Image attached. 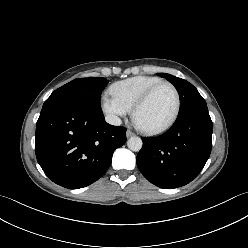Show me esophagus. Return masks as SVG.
<instances>
[{
  "mask_svg": "<svg viewBox=\"0 0 248 248\" xmlns=\"http://www.w3.org/2000/svg\"><path fill=\"white\" fill-rule=\"evenodd\" d=\"M134 135V133L130 130H127L126 132V136L129 138V137H132Z\"/></svg>",
  "mask_w": 248,
  "mask_h": 248,
  "instance_id": "34e87169",
  "label": "esophagus"
}]
</instances>
